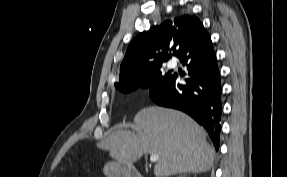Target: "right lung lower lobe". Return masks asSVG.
Instances as JSON below:
<instances>
[{
	"label": "right lung lower lobe",
	"mask_w": 287,
	"mask_h": 177,
	"mask_svg": "<svg viewBox=\"0 0 287 177\" xmlns=\"http://www.w3.org/2000/svg\"><path fill=\"white\" fill-rule=\"evenodd\" d=\"M187 65L188 78L179 84L178 74L149 89L151 99L159 106L181 110L208 132L218 150L221 131V83L216 54L206 30L189 40L178 55Z\"/></svg>",
	"instance_id": "obj_1"
}]
</instances>
